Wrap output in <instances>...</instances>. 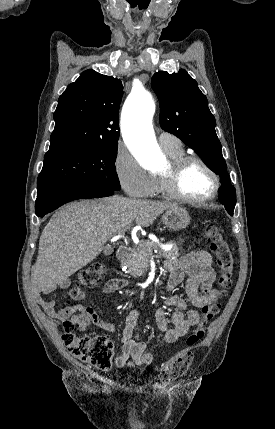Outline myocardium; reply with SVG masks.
I'll list each match as a JSON object with an SVG mask.
<instances>
[{
	"instance_id": "myocardium-1",
	"label": "myocardium",
	"mask_w": 275,
	"mask_h": 429,
	"mask_svg": "<svg viewBox=\"0 0 275 429\" xmlns=\"http://www.w3.org/2000/svg\"><path fill=\"white\" fill-rule=\"evenodd\" d=\"M191 163L200 164L213 180V190L203 199H194L184 195L179 189V179L184 169ZM164 193L175 200L191 205H204L214 200L220 190V179L215 170L201 157L196 155H182L169 161L167 169L159 173Z\"/></svg>"
}]
</instances>
